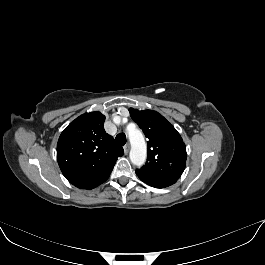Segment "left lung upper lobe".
<instances>
[{"instance_id": "left-lung-upper-lobe-1", "label": "left lung upper lobe", "mask_w": 265, "mask_h": 265, "mask_svg": "<svg viewBox=\"0 0 265 265\" xmlns=\"http://www.w3.org/2000/svg\"><path fill=\"white\" fill-rule=\"evenodd\" d=\"M129 112L148 138V160L136 172L150 177L178 180L185 169L187 156L180 134L156 111L130 108Z\"/></svg>"}]
</instances>
